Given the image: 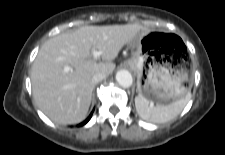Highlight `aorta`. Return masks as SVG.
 <instances>
[{"label":"aorta","mask_w":225,"mask_h":155,"mask_svg":"<svg viewBox=\"0 0 225 155\" xmlns=\"http://www.w3.org/2000/svg\"><path fill=\"white\" fill-rule=\"evenodd\" d=\"M116 81L124 88L130 87L133 83L132 75L127 70H119L116 73Z\"/></svg>","instance_id":"762f6f07"}]
</instances>
